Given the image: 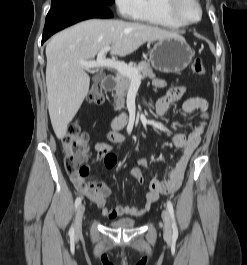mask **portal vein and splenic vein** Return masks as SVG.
<instances>
[{"label":"portal vein and splenic vein","instance_id":"obj_1","mask_svg":"<svg viewBox=\"0 0 247 265\" xmlns=\"http://www.w3.org/2000/svg\"><path fill=\"white\" fill-rule=\"evenodd\" d=\"M110 50H111L110 46H105L99 51L96 61H80V64L84 67V69L97 68V67L113 68L116 69L122 75H125L132 80L141 79L137 69L127 65L124 62L116 61L114 59H106L105 54Z\"/></svg>","mask_w":247,"mask_h":265}]
</instances>
